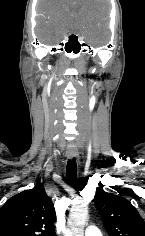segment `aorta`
Returning a JSON list of instances; mask_svg holds the SVG:
<instances>
[{
	"label": "aorta",
	"instance_id": "1",
	"mask_svg": "<svg viewBox=\"0 0 145 236\" xmlns=\"http://www.w3.org/2000/svg\"><path fill=\"white\" fill-rule=\"evenodd\" d=\"M88 219V204L75 203L69 214L68 228L65 236H84V226Z\"/></svg>",
	"mask_w": 145,
	"mask_h": 236
}]
</instances>
